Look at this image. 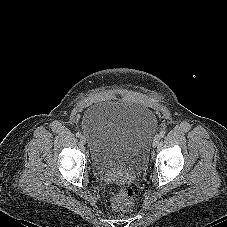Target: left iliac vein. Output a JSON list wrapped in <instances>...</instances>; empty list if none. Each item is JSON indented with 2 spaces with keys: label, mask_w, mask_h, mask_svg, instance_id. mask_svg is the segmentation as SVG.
Segmentation results:
<instances>
[{
  "label": "left iliac vein",
  "mask_w": 227,
  "mask_h": 227,
  "mask_svg": "<svg viewBox=\"0 0 227 227\" xmlns=\"http://www.w3.org/2000/svg\"><path fill=\"white\" fill-rule=\"evenodd\" d=\"M161 137L159 135H156L153 139V146L156 147L160 143Z\"/></svg>",
  "instance_id": "1"
}]
</instances>
